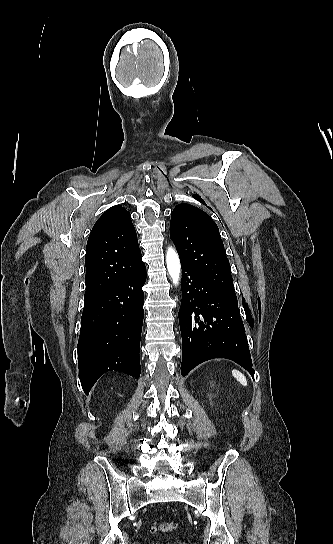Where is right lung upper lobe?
<instances>
[{
	"label": "right lung upper lobe",
	"mask_w": 333,
	"mask_h": 544,
	"mask_svg": "<svg viewBox=\"0 0 333 544\" xmlns=\"http://www.w3.org/2000/svg\"><path fill=\"white\" fill-rule=\"evenodd\" d=\"M131 215L120 205L95 223L87 242L84 300L108 291L143 262Z\"/></svg>",
	"instance_id": "1"
}]
</instances>
